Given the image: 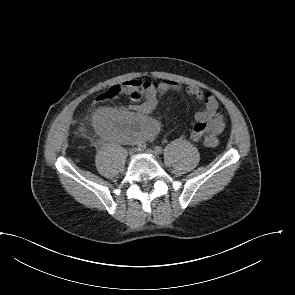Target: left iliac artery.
Returning <instances> with one entry per match:
<instances>
[{"instance_id":"44dca946","label":"left iliac artery","mask_w":295,"mask_h":295,"mask_svg":"<svg viewBox=\"0 0 295 295\" xmlns=\"http://www.w3.org/2000/svg\"><path fill=\"white\" fill-rule=\"evenodd\" d=\"M154 151H155L156 154H161L163 152V149H162L161 146H156L154 148Z\"/></svg>"}]
</instances>
